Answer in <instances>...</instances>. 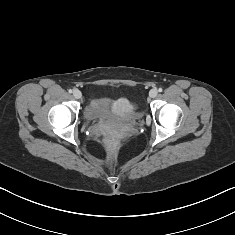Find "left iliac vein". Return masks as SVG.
<instances>
[{"label": "left iliac vein", "mask_w": 235, "mask_h": 235, "mask_svg": "<svg viewBox=\"0 0 235 235\" xmlns=\"http://www.w3.org/2000/svg\"><path fill=\"white\" fill-rule=\"evenodd\" d=\"M157 94H158V91L155 88L151 89L150 92H149V96L151 98H155L157 96Z\"/></svg>", "instance_id": "4c4485c4"}]
</instances>
